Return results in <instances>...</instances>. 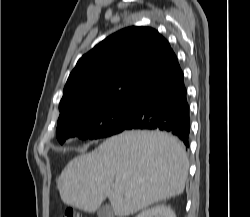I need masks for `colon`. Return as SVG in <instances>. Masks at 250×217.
<instances>
[{"instance_id":"obj_1","label":"colon","mask_w":250,"mask_h":217,"mask_svg":"<svg viewBox=\"0 0 250 217\" xmlns=\"http://www.w3.org/2000/svg\"><path fill=\"white\" fill-rule=\"evenodd\" d=\"M63 217H78V216L74 213V211L68 210L65 212Z\"/></svg>"}]
</instances>
